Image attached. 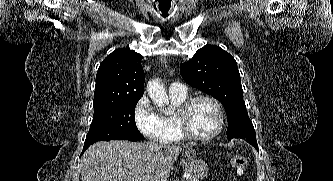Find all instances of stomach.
I'll list each match as a JSON object with an SVG mask.
<instances>
[{"label": "stomach", "instance_id": "1", "mask_svg": "<svg viewBox=\"0 0 333 181\" xmlns=\"http://www.w3.org/2000/svg\"><path fill=\"white\" fill-rule=\"evenodd\" d=\"M182 166L192 177L202 179L208 174V165L202 159L196 158L194 150H186L183 153Z\"/></svg>", "mask_w": 333, "mask_h": 181}]
</instances>
